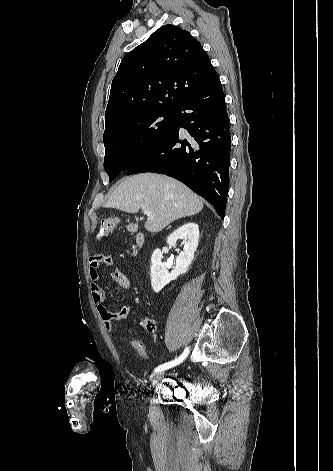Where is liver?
Returning <instances> with one entry per match:
<instances>
[{
	"label": "liver",
	"mask_w": 333,
	"mask_h": 471,
	"mask_svg": "<svg viewBox=\"0 0 333 471\" xmlns=\"http://www.w3.org/2000/svg\"><path fill=\"white\" fill-rule=\"evenodd\" d=\"M105 208L127 213L149 210L145 229L159 232L171 222L199 213L201 199L180 181L164 175L142 173L127 178L109 195Z\"/></svg>",
	"instance_id": "liver-1"
}]
</instances>
